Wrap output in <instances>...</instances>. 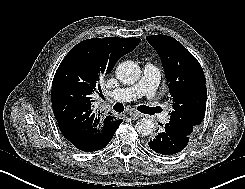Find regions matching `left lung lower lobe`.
Returning a JSON list of instances; mask_svg holds the SVG:
<instances>
[{"label": "left lung lower lobe", "instance_id": "obj_1", "mask_svg": "<svg viewBox=\"0 0 245 189\" xmlns=\"http://www.w3.org/2000/svg\"><path fill=\"white\" fill-rule=\"evenodd\" d=\"M155 136L149 141L150 149L163 155H173L182 151L188 144L190 137L179 136L170 130L167 125L161 124Z\"/></svg>", "mask_w": 245, "mask_h": 189}]
</instances>
